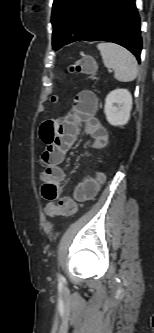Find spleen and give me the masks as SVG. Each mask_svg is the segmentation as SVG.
<instances>
[{
	"mask_svg": "<svg viewBox=\"0 0 154 333\" xmlns=\"http://www.w3.org/2000/svg\"><path fill=\"white\" fill-rule=\"evenodd\" d=\"M97 48L104 65L114 70V77L118 81L130 82L137 77L136 58L127 49L114 43H99Z\"/></svg>",
	"mask_w": 154,
	"mask_h": 333,
	"instance_id": "1",
	"label": "spleen"
}]
</instances>
